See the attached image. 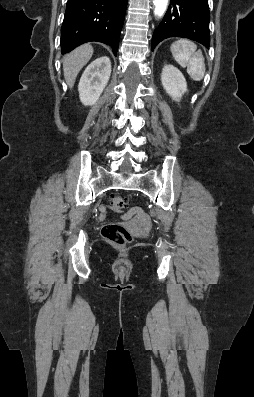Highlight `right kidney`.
Wrapping results in <instances>:
<instances>
[{"label":"right kidney","mask_w":254,"mask_h":397,"mask_svg":"<svg viewBox=\"0 0 254 397\" xmlns=\"http://www.w3.org/2000/svg\"><path fill=\"white\" fill-rule=\"evenodd\" d=\"M111 75L109 57L95 59L83 72L78 85L79 98L84 105H93L99 99Z\"/></svg>","instance_id":"right-kidney-1"}]
</instances>
